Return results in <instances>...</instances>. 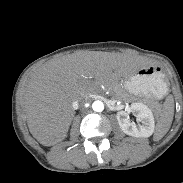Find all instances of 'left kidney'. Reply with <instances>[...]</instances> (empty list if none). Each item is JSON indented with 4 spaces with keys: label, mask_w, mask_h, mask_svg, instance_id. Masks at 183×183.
Returning a JSON list of instances; mask_svg holds the SVG:
<instances>
[{
    "label": "left kidney",
    "mask_w": 183,
    "mask_h": 183,
    "mask_svg": "<svg viewBox=\"0 0 183 183\" xmlns=\"http://www.w3.org/2000/svg\"><path fill=\"white\" fill-rule=\"evenodd\" d=\"M129 113L136 116L140 123H132L128 117ZM116 117L120 128L127 135L148 138L154 132L155 125L153 113L151 109L143 103L133 102L130 105L128 112L119 111Z\"/></svg>",
    "instance_id": "obj_1"
}]
</instances>
